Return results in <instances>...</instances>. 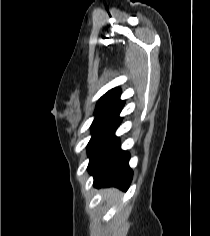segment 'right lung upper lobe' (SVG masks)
<instances>
[{
    "mask_svg": "<svg viewBox=\"0 0 210 236\" xmlns=\"http://www.w3.org/2000/svg\"><path fill=\"white\" fill-rule=\"evenodd\" d=\"M119 95H120V89L114 88V89L108 91L104 96H102L99 101H112V100L118 98Z\"/></svg>",
    "mask_w": 210,
    "mask_h": 236,
    "instance_id": "obj_1",
    "label": "right lung upper lobe"
}]
</instances>
